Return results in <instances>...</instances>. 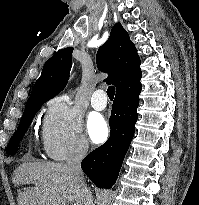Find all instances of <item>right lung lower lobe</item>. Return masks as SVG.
Wrapping results in <instances>:
<instances>
[{
	"mask_svg": "<svg viewBox=\"0 0 199 205\" xmlns=\"http://www.w3.org/2000/svg\"><path fill=\"white\" fill-rule=\"evenodd\" d=\"M141 76L142 74L133 78L117 90L109 119L110 137L81 162L84 173L100 188H111L116 182L134 136L142 89Z\"/></svg>",
	"mask_w": 199,
	"mask_h": 205,
	"instance_id": "1",
	"label": "right lung lower lobe"
}]
</instances>
